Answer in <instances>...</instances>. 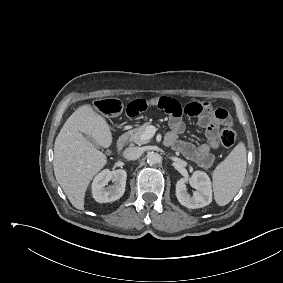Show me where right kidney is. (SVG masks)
<instances>
[{
  "instance_id": "ca27d5eb",
  "label": "right kidney",
  "mask_w": 283,
  "mask_h": 283,
  "mask_svg": "<svg viewBox=\"0 0 283 283\" xmlns=\"http://www.w3.org/2000/svg\"><path fill=\"white\" fill-rule=\"evenodd\" d=\"M126 179L127 173L125 170H103L93 180V198L99 203L116 201L124 194ZM109 181H112L113 185L106 187Z\"/></svg>"
}]
</instances>
